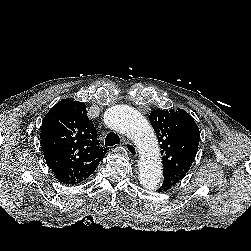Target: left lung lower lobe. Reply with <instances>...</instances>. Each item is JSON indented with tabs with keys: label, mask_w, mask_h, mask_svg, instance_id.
<instances>
[{
	"label": "left lung lower lobe",
	"mask_w": 251,
	"mask_h": 251,
	"mask_svg": "<svg viewBox=\"0 0 251 251\" xmlns=\"http://www.w3.org/2000/svg\"><path fill=\"white\" fill-rule=\"evenodd\" d=\"M162 184H161V187L159 188V191H166V190L170 189V188H167V187H169L167 184L162 188Z\"/></svg>",
	"instance_id": "obj_1"
}]
</instances>
